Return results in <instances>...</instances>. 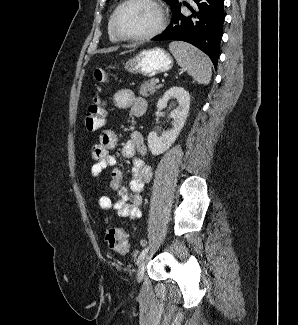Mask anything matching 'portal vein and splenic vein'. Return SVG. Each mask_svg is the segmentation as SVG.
I'll return each mask as SVG.
<instances>
[{"label": "portal vein and splenic vein", "instance_id": "18ae733b", "mask_svg": "<svg viewBox=\"0 0 298 325\" xmlns=\"http://www.w3.org/2000/svg\"><path fill=\"white\" fill-rule=\"evenodd\" d=\"M154 82H159V78H155Z\"/></svg>", "mask_w": 298, "mask_h": 325}]
</instances>
